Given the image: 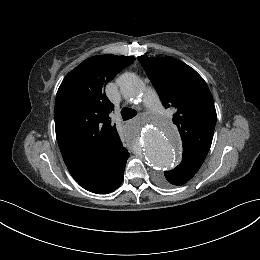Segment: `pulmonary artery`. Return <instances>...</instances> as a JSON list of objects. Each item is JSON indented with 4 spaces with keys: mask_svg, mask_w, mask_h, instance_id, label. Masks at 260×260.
<instances>
[{
    "mask_svg": "<svg viewBox=\"0 0 260 260\" xmlns=\"http://www.w3.org/2000/svg\"><path fill=\"white\" fill-rule=\"evenodd\" d=\"M145 106L153 112L161 110V104L156 94L152 89H148L144 95Z\"/></svg>",
    "mask_w": 260,
    "mask_h": 260,
    "instance_id": "obj_1",
    "label": "pulmonary artery"
}]
</instances>
